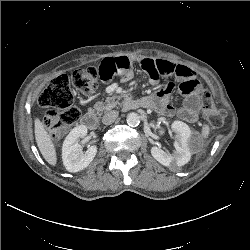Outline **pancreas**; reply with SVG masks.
<instances>
[{"label":"pancreas","mask_w":250,"mask_h":250,"mask_svg":"<svg viewBox=\"0 0 250 250\" xmlns=\"http://www.w3.org/2000/svg\"><path fill=\"white\" fill-rule=\"evenodd\" d=\"M117 103L118 102L114 101L113 98H109L106 100L105 103L100 102V103L95 104L93 110L96 111L98 115H101L103 112H106L115 108L117 106Z\"/></svg>","instance_id":"cf45deb5"}]
</instances>
